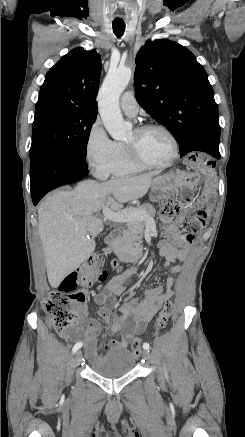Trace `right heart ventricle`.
Segmentation results:
<instances>
[{
  "mask_svg": "<svg viewBox=\"0 0 245 437\" xmlns=\"http://www.w3.org/2000/svg\"><path fill=\"white\" fill-rule=\"evenodd\" d=\"M144 170V167L135 164L129 159L124 145L116 142V155L109 174L113 177H124L141 173Z\"/></svg>",
  "mask_w": 245,
  "mask_h": 437,
  "instance_id": "e07e8e85",
  "label": "right heart ventricle"
}]
</instances>
